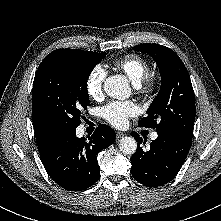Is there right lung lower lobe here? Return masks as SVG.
<instances>
[{"mask_svg":"<svg viewBox=\"0 0 221 221\" xmlns=\"http://www.w3.org/2000/svg\"><path fill=\"white\" fill-rule=\"evenodd\" d=\"M115 141L114 130L100 124L88 138H78L76 129L53 133L38 145L42 163L49 176L62 188L85 190L100 177L98 153Z\"/></svg>","mask_w":221,"mask_h":221,"instance_id":"obj_1","label":"right lung lower lobe"}]
</instances>
